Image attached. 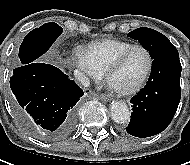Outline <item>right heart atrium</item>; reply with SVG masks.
I'll list each match as a JSON object with an SVG mask.
<instances>
[{"mask_svg":"<svg viewBox=\"0 0 190 165\" xmlns=\"http://www.w3.org/2000/svg\"><path fill=\"white\" fill-rule=\"evenodd\" d=\"M71 62L83 79L98 81L102 78V74L94 66L86 49L82 47L75 48L72 52Z\"/></svg>","mask_w":190,"mask_h":165,"instance_id":"1","label":"right heart atrium"}]
</instances>
